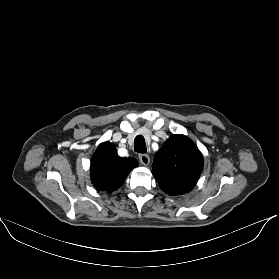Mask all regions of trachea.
<instances>
[{
    "instance_id": "trachea-1",
    "label": "trachea",
    "mask_w": 279,
    "mask_h": 279,
    "mask_svg": "<svg viewBox=\"0 0 279 279\" xmlns=\"http://www.w3.org/2000/svg\"><path fill=\"white\" fill-rule=\"evenodd\" d=\"M134 150L137 153H146L147 152L145 139L142 135L136 136V138L134 140Z\"/></svg>"
}]
</instances>
